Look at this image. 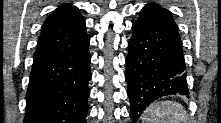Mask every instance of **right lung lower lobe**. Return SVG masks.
Returning <instances> with one entry per match:
<instances>
[{
  "label": "right lung lower lobe",
  "instance_id": "right-lung-lower-lobe-1",
  "mask_svg": "<svg viewBox=\"0 0 221 123\" xmlns=\"http://www.w3.org/2000/svg\"><path fill=\"white\" fill-rule=\"evenodd\" d=\"M89 43L85 31L59 44L38 46L26 94L25 123H86Z\"/></svg>",
  "mask_w": 221,
  "mask_h": 123
}]
</instances>
